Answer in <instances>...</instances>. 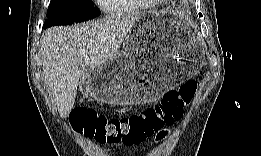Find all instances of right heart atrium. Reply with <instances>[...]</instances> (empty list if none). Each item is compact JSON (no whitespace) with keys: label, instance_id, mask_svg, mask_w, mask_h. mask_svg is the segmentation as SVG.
Returning <instances> with one entry per match:
<instances>
[{"label":"right heart atrium","instance_id":"1","mask_svg":"<svg viewBox=\"0 0 261 156\" xmlns=\"http://www.w3.org/2000/svg\"><path fill=\"white\" fill-rule=\"evenodd\" d=\"M99 3H100L102 6L106 7V0H101V1H99Z\"/></svg>","mask_w":261,"mask_h":156}]
</instances>
